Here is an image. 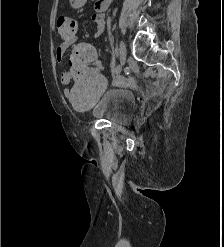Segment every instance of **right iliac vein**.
I'll return each instance as SVG.
<instances>
[{
	"label": "right iliac vein",
	"instance_id": "obj_1",
	"mask_svg": "<svg viewBox=\"0 0 224 247\" xmlns=\"http://www.w3.org/2000/svg\"><path fill=\"white\" fill-rule=\"evenodd\" d=\"M126 56H127L126 46L123 42H121L120 43V64L121 66H124L126 62Z\"/></svg>",
	"mask_w": 224,
	"mask_h": 247
}]
</instances>
